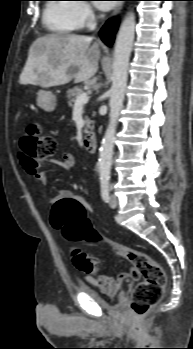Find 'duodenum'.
Returning a JSON list of instances; mask_svg holds the SVG:
<instances>
[{"mask_svg":"<svg viewBox=\"0 0 193 349\" xmlns=\"http://www.w3.org/2000/svg\"><path fill=\"white\" fill-rule=\"evenodd\" d=\"M97 149V138L93 133H87L83 139V151L86 154H93Z\"/></svg>","mask_w":193,"mask_h":349,"instance_id":"duodenum-1","label":"duodenum"}]
</instances>
